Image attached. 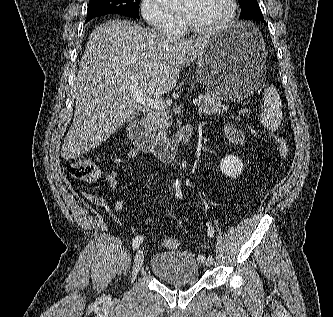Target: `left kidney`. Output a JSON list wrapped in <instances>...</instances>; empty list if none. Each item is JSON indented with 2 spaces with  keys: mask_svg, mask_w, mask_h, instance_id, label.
<instances>
[{
  "mask_svg": "<svg viewBox=\"0 0 333 317\" xmlns=\"http://www.w3.org/2000/svg\"><path fill=\"white\" fill-rule=\"evenodd\" d=\"M243 163L242 161L232 155L225 156L220 163V170L223 174L233 179L239 177L243 170Z\"/></svg>",
  "mask_w": 333,
  "mask_h": 317,
  "instance_id": "1",
  "label": "left kidney"
}]
</instances>
